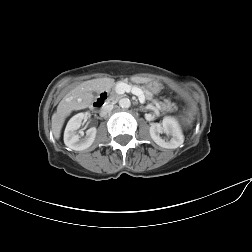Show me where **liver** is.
Returning a JSON list of instances; mask_svg holds the SVG:
<instances>
[{
  "mask_svg": "<svg viewBox=\"0 0 252 252\" xmlns=\"http://www.w3.org/2000/svg\"><path fill=\"white\" fill-rule=\"evenodd\" d=\"M135 82H146L147 79L135 78ZM114 84V79L100 78L85 81L72 89L58 104L57 111L52 115V132L56 139L60 138L61 129L65 118L73 111L87 107L94 100L92 91L101 92L109 90Z\"/></svg>",
  "mask_w": 252,
  "mask_h": 252,
  "instance_id": "liver-1",
  "label": "liver"
}]
</instances>
